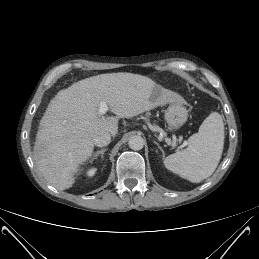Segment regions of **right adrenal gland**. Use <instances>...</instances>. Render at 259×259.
I'll use <instances>...</instances> for the list:
<instances>
[{"mask_svg":"<svg viewBox=\"0 0 259 259\" xmlns=\"http://www.w3.org/2000/svg\"><path fill=\"white\" fill-rule=\"evenodd\" d=\"M107 150V148H103L97 152L94 153L93 157L91 158L90 162L92 163L99 155H101V158H103L104 152Z\"/></svg>","mask_w":259,"mask_h":259,"instance_id":"right-adrenal-gland-1","label":"right adrenal gland"}]
</instances>
